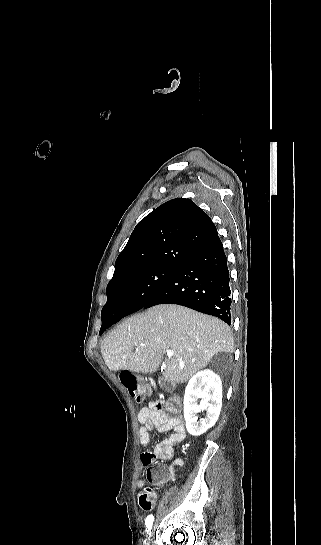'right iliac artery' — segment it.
<instances>
[{
	"instance_id": "1",
	"label": "right iliac artery",
	"mask_w": 321,
	"mask_h": 545,
	"mask_svg": "<svg viewBox=\"0 0 321 545\" xmlns=\"http://www.w3.org/2000/svg\"><path fill=\"white\" fill-rule=\"evenodd\" d=\"M153 521H154V516L153 515H148L146 520H145V524H146V527H147V532H151Z\"/></svg>"
}]
</instances>
